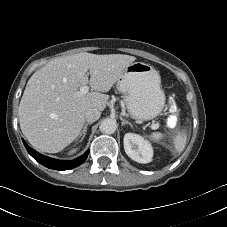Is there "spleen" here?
<instances>
[{"label":"spleen","mask_w":227,"mask_h":227,"mask_svg":"<svg viewBox=\"0 0 227 227\" xmlns=\"http://www.w3.org/2000/svg\"><path fill=\"white\" fill-rule=\"evenodd\" d=\"M149 137L151 140L157 142L163 138V134L155 132L152 133ZM186 142H187L186 132L185 131L179 132L173 139L175 151L180 154L184 150Z\"/></svg>","instance_id":"1"}]
</instances>
